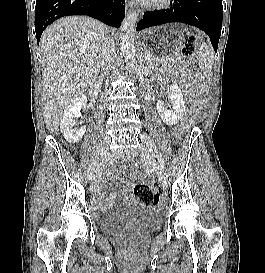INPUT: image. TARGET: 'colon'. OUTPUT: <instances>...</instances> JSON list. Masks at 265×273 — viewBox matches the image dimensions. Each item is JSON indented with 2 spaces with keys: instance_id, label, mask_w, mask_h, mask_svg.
<instances>
[{
  "instance_id": "1",
  "label": "colon",
  "mask_w": 265,
  "mask_h": 273,
  "mask_svg": "<svg viewBox=\"0 0 265 273\" xmlns=\"http://www.w3.org/2000/svg\"><path fill=\"white\" fill-rule=\"evenodd\" d=\"M197 39L194 35H188L184 38L182 52L185 56L190 57L196 53ZM130 175L134 178L138 176L137 171L130 170ZM135 196L145 205H156L160 198L159 191L150 183L141 182L136 184Z\"/></svg>"
}]
</instances>
